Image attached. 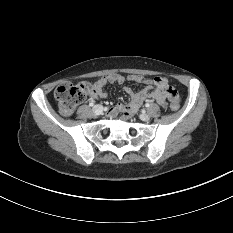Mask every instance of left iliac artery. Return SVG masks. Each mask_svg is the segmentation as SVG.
I'll list each match as a JSON object with an SVG mask.
<instances>
[{"mask_svg":"<svg viewBox=\"0 0 233 233\" xmlns=\"http://www.w3.org/2000/svg\"><path fill=\"white\" fill-rule=\"evenodd\" d=\"M149 106H150V104H149V103H146V104H145V107H149Z\"/></svg>","mask_w":233,"mask_h":233,"instance_id":"left-iliac-artery-1","label":"left iliac artery"}]
</instances>
